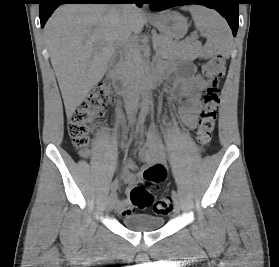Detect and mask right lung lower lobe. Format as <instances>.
<instances>
[{"instance_id": "right-lung-lower-lobe-1", "label": "right lung lower lobe", "mask_w": 279, "mask_h": 267, "mask_svg": "<svg viewBox=\"0 0 279 267\" xmlns=\"http://www.w3.org/2000/svg\"><path fill=\"white\" fill-rule=\"evenodd\" d=\"M136 3L142 6L143 0H41L39 2L41 27H44L54 10L63 3Z\"/></svg>"}]
</instances>
